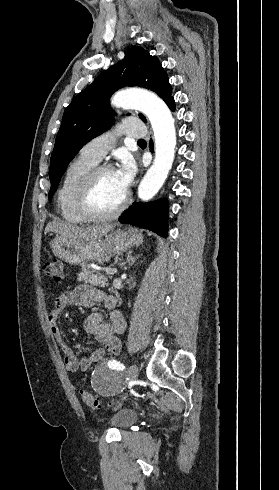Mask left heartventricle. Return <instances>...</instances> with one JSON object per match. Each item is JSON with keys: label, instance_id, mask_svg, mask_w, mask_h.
<instances>
[{"label": "left heart ventricle", "instance_id": "b2bd125f", "mask_svg": "<svg viewBox=\"0 0 279 490\" xmlns=\"http://www.w3.org/2000/svg\"><path fill=\"white\" fill-rule=\"evenodd\" d=\"M124 198L125 195L120 192L114 170L102 173L94 195L95 207L102 212H109L115 209Z\"/></svg>", "mask_w": 279, "mask_h": 490}]
</instances>
